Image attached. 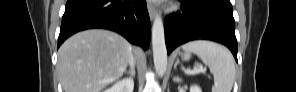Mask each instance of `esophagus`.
<instances>
[{
    "instance_id": "34e87169",
    "label": "esophagus",
    "mask_w": 296,
    "mask_h": 92,
    "mask_svg": "<svg viewBox=\"0 0 296 92\" xmlns=\"http://www.w3.org/2000/svg\"><path fill=\"white\" fill-rule=\"evenodd\" d=\"M147 9H148L150 19L153 20L155 17V6H154V3L150 0H147Z\"/></svg>"
}]
</instances>
